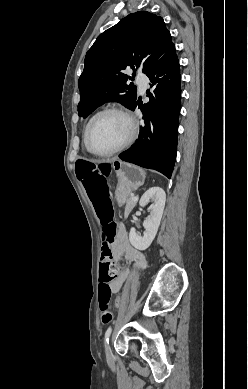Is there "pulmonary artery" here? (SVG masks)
Segmentation results:
<instances>
[{"label":"pulmonary artery","mask_w":248,"mask_h":389,"mask_svg":"<svg viewBox=\"0 0 248 389\" xmlns=\"http://www.w3.org/2000/svg\"><path fill=\"white\" fill-rule=\"evenodd\" d=\"M136 81L139 84L140 90L142 92L146 89V87H147V85L149 83V79H148V77L146 75H138L137 78H136Z\"/></svg>","instance_id":"1"}]
</instances>
